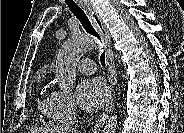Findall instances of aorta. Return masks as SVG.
I'll use <instances>...</instances> for the list:
<instances>
[{
	"instance_id": "aorta-1",
	"label": "aorta",
	"mask_w": 184,
	"mask_h": 133,
	"mask_svg": "<svg viewBox=\"0 0 184 133\" xmlns=\"http://www.w3.org/2000/svg\"><path fill=\"white\" fill-rule=\"evenodd\" d=\"M95 47L94 40L84 34H75L62 45L56 61L55 75L61 89L71 91L76 78V66L81 57ZM117 111L110 115L102 133H116Z\"/></svg>"
}]
</instances>
